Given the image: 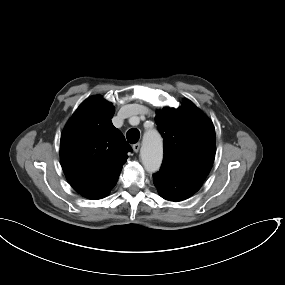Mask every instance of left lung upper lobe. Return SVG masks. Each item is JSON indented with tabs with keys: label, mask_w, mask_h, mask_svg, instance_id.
I'll use <instances>...</instances> for the list:
<instances>
[{
	"label": "left lung upper lobe",
	"mask_w": 285,
	"mask_h": 285,
	"mask_svg": "<svg viewBox=\"0 0 285 285\" xmlns=\"http://www.w3.org/2000/svg\"><path fill=\"white\" fill-rule=\"evenodd\" d=\"M155 122L163 137V172L202 184L215 158L212 122L190 100L177 109L157 111Z\"/></svg>",
	"instance_id": "obj_1"
}]
</instances>
